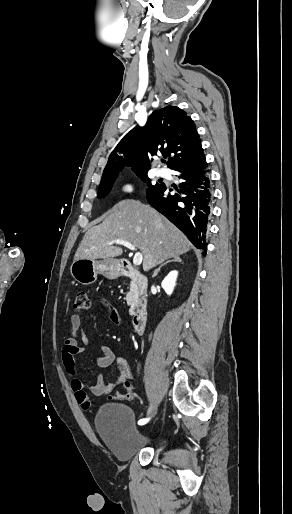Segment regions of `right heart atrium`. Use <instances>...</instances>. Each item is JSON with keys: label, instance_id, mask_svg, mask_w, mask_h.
<instances>
[{"label": "right heart atrium", "instance_id": "right-heart-atrium-1", "mask_svg": "<svg viewBox=\"0 0 292 514\" xmlns=\"http://www.w3.org/2000/svg\"><path fill=\"white\" fill-rule=\"evenodd\" d=\"M136 185L131 180H124L117 185L116 191L119 197L126 198L134 194Z\"/></svg>", "mask_w": 292, "mask_h": 514}]
</instances>
